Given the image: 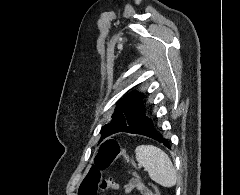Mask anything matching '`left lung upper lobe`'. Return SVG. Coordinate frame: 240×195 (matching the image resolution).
Listing matches in <instances>:
<instances>
[{
  "instance_id": "5c2ea615",
  "label": "left lung upper lobe",
  "mask_w": 240,
  "mask_h": 195,
  "mask_svg": "<svg viewBox=\"0 0 240 195\" xmlns=\"http://www.w3.org/2000/svg\"><path fill=\"white\" fill-rule=\"evenodd\" d=\"M144 111L143 94L133 92L121 99L112 115V122L103 126L102 138L121 132Z\"/></svg>"
}]
</instances>
